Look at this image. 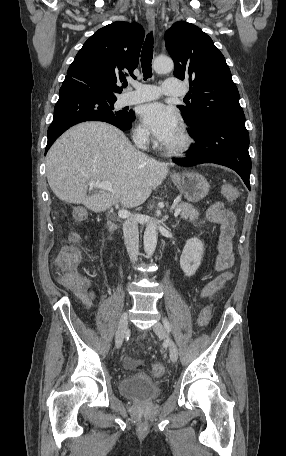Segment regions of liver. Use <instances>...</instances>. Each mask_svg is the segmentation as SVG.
<instances>
[{"instance_id":"1","label":"liver","mask_w":286,"mask_h":456,"mask_svg":"<svg viewBox=\"0 0 286 456\" xmlns=\"http://www.w3.org/2000/svg\"><path fill=\"white\" fill-rule=\"evenodd\" d=\"M168 165L137 150L122 131L85 122L66 131L46 158L47 180L62 201L103 212L116 203L143 204L168 174ZM89 181H108L112 190L87 195Z\"/></svg>"}]
</instances>
